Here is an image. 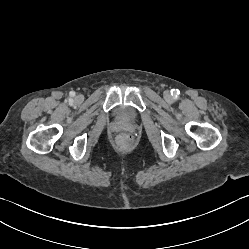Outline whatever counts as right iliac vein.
<instances>
[{"instance_id":"1","label":"right iliac vein","mask_w":249,"mask_h":249,"mask_svg":"<svg viewBox=\"0 0 249 249\" xmlns=\"http://www.w3.org/2000/svg\"><path fill=\"white\" fill-rule=\"evenodd\" d=\"M76 100H77V101H80V97H77Z\"/></svg>"}]
</instances>
